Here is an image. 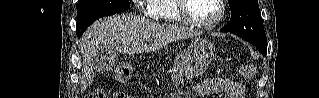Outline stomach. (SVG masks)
Instances as JSON below:
<instances>
[{
    "label": "stomach",
    "mask_w": 319,
    "mask_h": 98,
    "mask_svg": "<svg viewBox=\"0 0 319 98\" xmlns=\"http://www.w3.org/2000/svg\"><path fill=\"white\" fill-rule=\"evenodd\" d=\"M215 55L211 42L196 37L182 55V64L189 81L203 74Z\"/></svg>",
    "instance_id": "obj_1"
}]
</instances>
